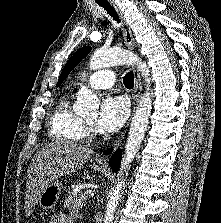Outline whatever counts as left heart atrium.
I'll return each instance as SVG.
<instances>
[{
	"label": "left heart atrium",
	"instance_id": "obj_1",
	"mask_svg": "<svg viewBox=\"0 0 221 223\" xmlns=\"http://www.w3.org/2000/svg\"><path fill=\"white\" fill-rule=\"evenodd\" d=\"M129 108L126 100L119 96L106 97L100 107L96 129L102 133L117 131L126 121Z\"/></svg>",
	"mask_w": 221,
	"mask_h": 223
}]
</instances>
